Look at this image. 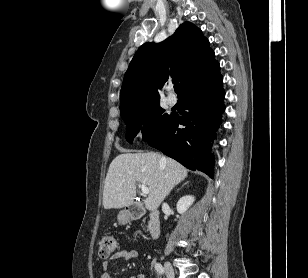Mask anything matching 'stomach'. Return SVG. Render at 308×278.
Listing matches in <instances>:
<instances>
[{
  "mask_svg": "<svg viewBox=\"0 0 308 278\" xmlns=\"http://www.w3.org/2000/svg\"><path fill=\"white\" fill-rule=\"evenodd\" d=\"M128 220V215L126 212H121L119 215H118V221L121 222V223H125L127 222Z\"/></svg>",
  "mask_w": 308,
  "mask_h": 278,
  "instance_id": "stomach-1",
  "label": "stomach"
}]
</instances>
